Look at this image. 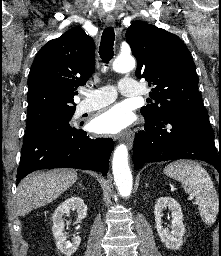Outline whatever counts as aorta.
Segmentation results:
<instances>
[{
  "label": "aorta",
  "instance_id": "1",
  "mask_svg": "<svg viewBox=\"0 0 221 256\" xmlns=\"http://www.w3.org/2000/svg\"><path fill=\"white\" fill-rule=\"evenodd\" d=\"M135 60L133 57H118L113 62L112 68L115 72L125 73L133 70ZM113 175L116 186L121 196L128 197L131 194L133 179L128 164V149L126 145L120 144L116 147L112 161Z\"/></svg>",
  "mask_w": 221,
  "mask_h": 256
}]
</instances>
